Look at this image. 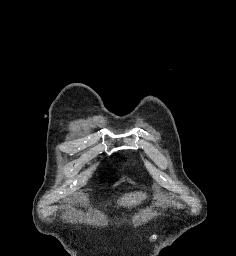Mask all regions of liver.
Segmentation results:
<instances>
[{"label": "liver", "mask_w": 236, "mask_h": 256, "mask_svg": "<svg viewBox=\"0 0 236 256\" xmlns=\"http://www.w3.org/2000/svg\"><path fill=\"white\" fill-rule=\"evenodd\" d=\"M142 198H144V194H141V192H136V194H125V196L119 200V204H121V206H136Z\"/></svg>", "instance_id": "liver-1"}]
</instances>
